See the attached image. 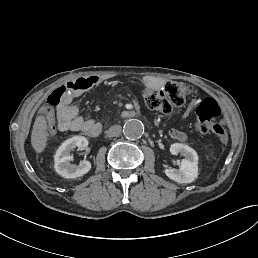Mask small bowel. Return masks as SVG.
<instances>
[{"label": "small bowel", "instance_id": "c3829d8e", "mask_svg": "<svg viewBox=\"0 0 258 258\" xmlns=\"http://www.w3.org/2000/svg\"><path fill=\"white\" fill-rule=\"evenodd\" d=\"M74 88L67 100L58 107L48 120L49 129L59 131H80L88 136H97L101 131V125L93 119H86L79 115V109L75 99L83 93L101 86L110 84V79L99 75L79 77L67 82ZM169 135L177 140H187V134L182 129H172Z\"/></svg>", "mask_w": 258, "mask_h": 258}]
</instances>
